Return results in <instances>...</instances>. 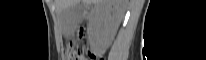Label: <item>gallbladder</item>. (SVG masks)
<instances>
[{
  "label": "gallbladder",
  "mask_w": 206,
  "mask_h": 60,
  "mask_svg": "<svg viewBox=\"0 0 206 60\" xmlns=\"http://www.w3.org/2000/svg\"><path fill=\"white\" fill-rule=\"evenodd\" d=\"M85 7L82 3L76 1L60 13V23L64 30H74L84 19Z\"/></svg>",
  "instance_id": "bac80fb5"
}]
</instances>
